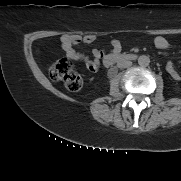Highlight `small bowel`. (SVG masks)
<instances>
[{"label": "small bowel", "instance_id": "c3829d8e", "mask_svg": "<svg viewBox=\"0 0 181 181\" xmlns=\"http://www.w3.org/2000/svg\"><path fill=\"white\" fill-rule=\"evenodd\" d=\"M61 47L64 50L66 56L74 61H82L89 71L95 72L99 68L100 58L102 57V52L98 50L93 51V57L89 58L83 53L76 50V46L85 43L89 44L95 40L94 35H77V34H63L59 38ZM154 44L158 49H167L170 46V41L167 37L157 36L154 39ZM122 44L119 40L115 39L112 41V52L109 55H117L121 50ZM168 74L174 80H181V74L178 72L176 67L172 62H168L166 66Z\"/></svg>", "mask_w": 181, "mask_h": 181}]
</instances>
